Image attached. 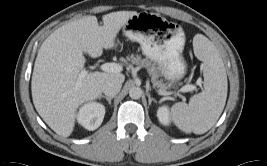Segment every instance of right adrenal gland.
Returning <instances> with one entry per match:
<instances>
[{"label": "right adrenal gland", "instance_id": "right-adrenal-gland-1", "mask_svg": "<svg viewBox=\"0 0 267 166\" xmlns=\"http://www.w3.org/2000/svg\"><path fill=\"white\" fill-rule=\"evenodd\" d=\"M102 98L106 99L108 101L109 105H111V101L114 98V96H110V97L102 96Z\"/></svg>", "mask_w": 267, "mask_h": 166}]
</instances>
